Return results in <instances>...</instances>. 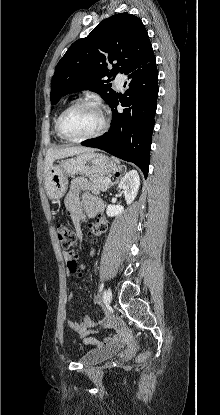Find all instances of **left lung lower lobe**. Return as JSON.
I'll return each instance as SVG.
<instances>
[{
	"label": "left lung lower lobe",
	"instance_id": "0a47b994",
	"mask_svg": "<svg viewBox=\"0 0 220 415\" xmlns=\"http://www.w3.org/2000/svg\"><path fill=\"white\" fill-rule=\"evenodd\" d=\"M153 55L144 64L124 72L128 87L124 96L115 94L109 102L112 110V124L108 133L88 139L82 145L102 149L123 160L135 163L148 175L150 147L157 107L158 71ZM121 103L123 111L116 106Z\"/></svg>",
	"mask_w": 220,
	"mask_h": 415
}]
</instances>
